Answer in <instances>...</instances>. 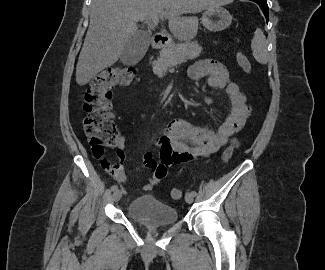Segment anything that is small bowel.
Wrapping results in <instances>:
<instances>
[{
  "label": "small bowel",
  "instance_id": "1",
  "mask_svg": "<svg viewBox=\"0 0 325 270\" xmlns=\"http://www.w3.org/2000/svg\"><path fill=\"white\" fill-rule=\"evenodd\" d=\"M189 77L196 81L206 78L210 87L224 89L230 112L217 130L193 126L183 119L170 121L159 142L162 164L157 163L152 152L143 154L144 167L152 171L149 181L142 186L144 191L153 189L165 177L172 165L198 157H208L217 152L227 144L231 136L242 128L249 115L250 109L246 104L244 94L230 80L223 65L209 60L199 61L190 67ZM205 101L213 102L209 98ZM116 156L119 160L116 167L104 165L101 161L100 163L117 181L126 184L127 178L123 171V163L127 160L124 152V137L119 138Z\"/></svg>",
  "mask_w": 325,
  "mask_h": 270
}]
</instances>
